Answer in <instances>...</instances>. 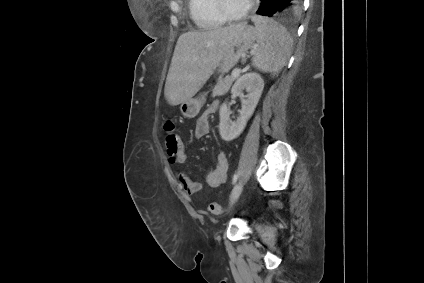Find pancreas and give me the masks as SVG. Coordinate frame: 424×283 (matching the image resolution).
I'll return each mask as SVG.
<instances>
[{"mask_svg":"<svg viewBox=\"0 0 424 283\" xmlns=\"http://www.w3.org/2000/svg\"><path fill=\"white\" fill-rule=\"evenodd\" d=\"M236 77L226 76L224 79H219L212 91V97L224 95L231 87Z\"/></svg>","mask_w":424,"mask_h":283,"instance_id":"cf45deb5","label":"pancreas"}]
</instances>
